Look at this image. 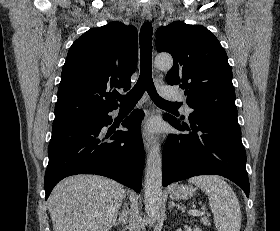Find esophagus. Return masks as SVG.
Returning <instances> with one entry per match:
<instances>
[{"label":"esophagus","instance_id":"1","mask_svg":"<svg viewBox=\"0 0 280 231\" xmlns=\"http://www.w3.org/2000/svg\"><path fill=\"white\" fill-rule=\"evenodd\" d=\"M141 16L144 20L150 21L152 18L151 8L148 6H143L142 11H141ZM142 137H143V144H144L145 150L147 152H149L151 145H152V136L150 135V133L147 130H144Z\"/></svg>","mask_w":280,"mask_h":231}]
</instances>
